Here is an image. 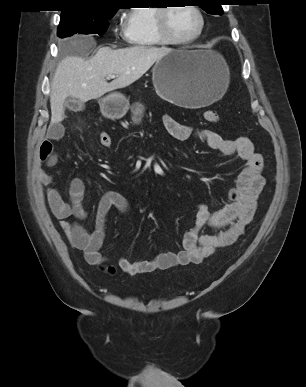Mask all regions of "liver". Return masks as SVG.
Returning a JSON list of instances; mask_svg holds the SVG:
<instances>
[{
  "label": "liver",
  "mask_w": 306,
  "mask_h": 387,
  "mask_svg": "<svg viewBox=\"0 0 306 387\" xmlns=\"http://www.w3.org/2000/svg\"><path fill=\"white\" fill-rule=\"evenodd\" d=\"M170 51L165 47L134 46L116 50L101 47L88 60L80 56L65 57L57 66L51 83V123L64 119L63 104L67 97L87 102L125 88L140 79ZM109 75L116 76L110 83L106 80Z\"/></svg>",
  "instance_id": "6515ba94"
}]
</instances>
